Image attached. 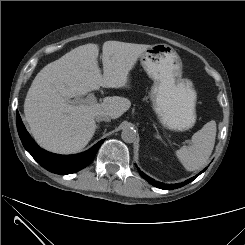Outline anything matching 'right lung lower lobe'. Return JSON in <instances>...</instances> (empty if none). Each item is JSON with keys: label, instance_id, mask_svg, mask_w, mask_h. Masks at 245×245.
Listing matches in <instances>:
<instances>
[{"label": "right lung lower lobe", "instance_id": "1", "mask_svg": "<svg viewBox=\"0 0 245 245\" xmlns=\"http://www.w3.org/2000/svg\"><path fill=\"white\" fill-rule=\"evenodd\" d=\"M17 130L25 149L48 171L66 175L77 172L90 164L104 140L99 141L89 150L76 155H58L41 149L25 129L17 111Z\"/></svg>", "mask_w": 245, "mask_h": 245}]
</instances>
